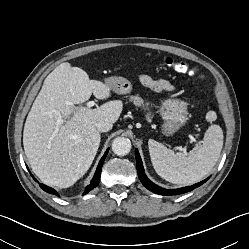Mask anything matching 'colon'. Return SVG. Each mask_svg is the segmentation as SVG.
I'll return each mask as SVG.
<instances>
[{
  "label": "colon",
  "instance_id": "obj_1",
  "mask_svg": "<svg viewBox=\"0 0 249 249\" xmlns=\"http://www.w3.org/2000/svg\"><path fill=\"white\" fill-rule=\"evenodd\" d=\"M164 64L176 70L179 73L188 74L189 76H199L200 72L196 66L190 65L188 62L183 60H177L172 57H166Z\"/></svg>",
  "mask_w": 249,
  "mask_h": 249
}]
</instances>
